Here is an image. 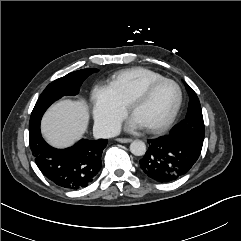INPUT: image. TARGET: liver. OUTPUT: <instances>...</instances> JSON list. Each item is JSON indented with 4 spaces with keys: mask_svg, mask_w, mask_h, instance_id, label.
Wrapping results in <instances>:
<instances>
[{
    "mask_svg": "<svg viewBox=\"0 0 241 241\" xmlns=\"http://www.w3.org/2000/svg\"><path fill=\"white\" fill-rule=\"evenodd\" d=\"M89 120L88 107L84 100H61L45 113L42 134L54 147L65 148L82 137Z\"/></svg>",
    "mask_w": 241,
    "mask_h": 241,
    "instance_id": "1",
    "label": "liver"
}]
</instances>
